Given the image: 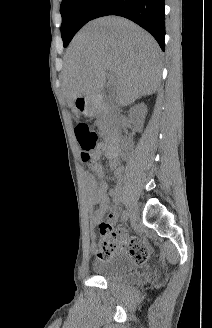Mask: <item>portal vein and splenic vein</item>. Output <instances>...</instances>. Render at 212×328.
I'll use <instances>...</instances> for the list:
<instances>
[{
	"label": "portal vein and splenic vein",
	"instance_id": "portal-vein-and-splenic-vein-1",
	"mask_svg": "<svg viewBox=\"0 0 212 328\" xmlns=\"http://www.w3.org/2000/svg\"><path fill=\"white\" fill-rule=\"evenodd\" d=\"M110 79H113V74L110 76Z\"/></svg>",
	"mask_w": 212,
	"mask_h": 328
}]
</instances>
